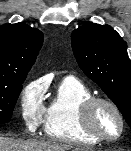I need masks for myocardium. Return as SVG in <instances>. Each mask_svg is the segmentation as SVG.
<instances>
[{
    "mask_svg": "<svg viewBox=\"0 0 131 151\" xmlns=\"http://www.w3.org/2000/svg\"><path fill=\"white\" fill-rule=\"evenodd\" d=\"M100 105H105L111 108L119 120L120 130L118 135H116L115 137L104 136L100 132H98L97 129L95 128L94 114L97 107ZM79 120L83 131L99 142H108V143L115 142L122 137L125 131V118L120 108L114 101L106 97L91 96L88 99H86L80 107Z\"/></svg>",
    "mask_w": 131,
    "mask_h": 151,
    "instance_id": "f54148a6",
    "label": "myocardium"
}]
</instances>
